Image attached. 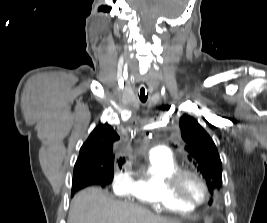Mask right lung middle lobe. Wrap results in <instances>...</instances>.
Returning <instances> with one entry per match:
<instances>
[{
	"mask_svg": "<svg viewBox=\"0 0 267 223\" xmlns=\"http://www.w3.org/2000/svg\"><path fill=\"white\" fill-rule=\"evenodd\" d=\"M104 176H105L106 178H111V179H113V176H114V167H109L108 169H106V170L104 171Z\"/></svg>",
	"mask_w": 267,
	"mask_h": 223,
	"instance_id": "1",
	"label": "right lung middle lobe"
}]
</instances>
